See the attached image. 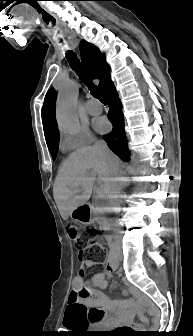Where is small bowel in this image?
I'll use <instances>...</instances> for the list:
<instances>
[{
  "mask_svg": "<svg viewBox=\"0 0 193 336\" xmlns=\"http://www.w3.org/2000/svg\"><path fill=\"white\" fill-rule=\"evenodd\" d=\"M107 272H112L109 264ZM105 273L97 272L90 279L77 275L71 286L68 312L64 324L70 327L76 323L109 327L113 324H127L131 321V302L114 300L104 292L107 287ZM88 292L89 295H83ZM128 296L129 292L124 291Z\"/></svg>",
  "mask_w": 193,
  "mask_h": 336,
  "instance_id": "1",
  "label": "small bowel"
}]
</instances>
